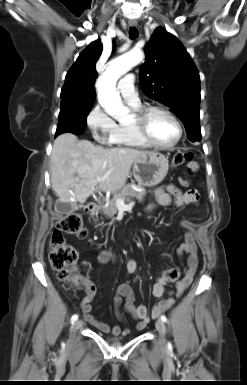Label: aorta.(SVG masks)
I'll list each match as a JSON object with an SVG mask.
<instances>
[{"mask_svg": "<svg viewBox=\"0 0 247 385\" xmlns=\"http://www.w3.org/2000/svg\"><path fill=\"white\" fill-rule=\"evenodd\" d=\"M144 58L141 51L132 50L108 63L105 72L98 78L96 88L98 101L104 110L116 119L128 115L129 109L122 103L116 89L118 79L138 65Z\"/></svg>", "mask_w": 247, "mask_h": 385, "instance_id": "aorta-1", "label": "aorta"}]
</instances>
